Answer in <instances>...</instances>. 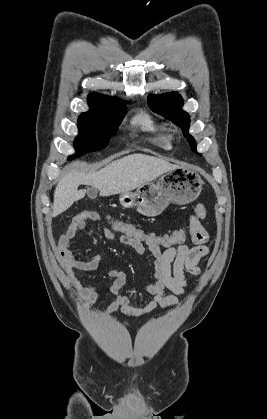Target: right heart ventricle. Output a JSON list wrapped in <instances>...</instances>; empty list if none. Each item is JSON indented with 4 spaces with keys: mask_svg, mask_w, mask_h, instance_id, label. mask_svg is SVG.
<instances>
[{
    "mask_svg": "<svg viewBox=\"0 0 267 419\" xmlns=\"http://www.w3.org/2000/svg\"><path fill=\"white\" fill-rule=\"evenodd\" d=\"M132 122L146 132L153 136L154 140L163 148L169 149L171 147V134L166 123L159 120L151 113L140 110L132 119Z\"/></svg>",
    "mask_w": 267,
    "mask_h": 419,
    "instance_id": "e07e8e85",
    "label": "right heart ventricle"
}]
</instances>
